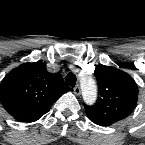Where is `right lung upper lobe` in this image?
<instances>
[{"instance_id":"right-lung-upper-lobe-1","label":"right lung upper lobe","mask_w":145,"mask_h":145,"mask_svg":"<svg viewBox=\"0 0 145 145\" xmlns=\"http://www.w3.org/2000/svg\"><path fill=\"white\" fill-rule=\"evenodd\" d=\"M70 90L72 89L65 85L61 74L49 73L46 64L24 63L11 70L3 79L0 101L15 119L34 122Z\"/></svg>"}]
</instances>
